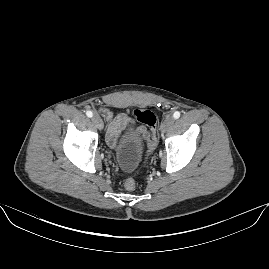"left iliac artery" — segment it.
<instances>
[{
	"instance_id": "44dca946",
	"label": "left iliac artery",
	"mask_w": 269,
	"mask_h": 269,
	"mask_svg": "<svg viewBox=\"0 0 269 269\" xmlns=\"http://www.w3.org/2000/svg\"><path fill=\"white\" fill-rule=\"evenodd\" d=\"M175 119H178L180 117V112L176 111L173 115Z\"/></svg>"
}]
</instances>
